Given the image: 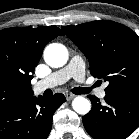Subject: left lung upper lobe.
I'll return each instance as SVG.
<instances>
[{
    "instance_id": "obj_1",
    "label": "left lung upper lobe",
    "mask_w": 139,
    "mask_h": 139,
    "mask_svg": "<svg viewBox=\"0 0 139 139\" xmlns=\"http://www.w3.org/2000/svg\"><path fill=\"white\" fill-rule=\"evenodd\" d=\"M62 29L88 58L91 75L109 82L106 95L139 87V36L133 30L108 20Z\"/></svg>"
}]
</instances>
